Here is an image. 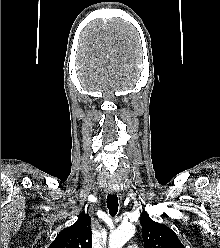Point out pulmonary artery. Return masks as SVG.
<instances>
[{"instance_id": "e3ab8cb5", "label": "pulmonary artery", "mask_w": 220, "mask_h": 248, "mask_svg": "<svg viewBox=\"0 0 220 248\" xmlns=\"http://www.w3.org/2000/svg\"><path fill=\"white\" fill-rule=\"evenodd\" d=\"M127 248H138L136 245H130Z\"/></svg>"}]
</instances>
